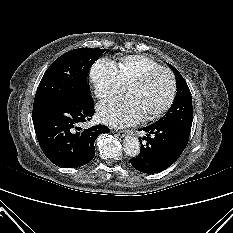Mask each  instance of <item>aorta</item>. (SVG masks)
Wrapping results in <instances>:
<instances>
[{"label":"aorta","mask_w":233,"mask_h":233,"mask_svg":"<svg viewBox=\"0 0 233 233\" xmlns=\"http://www.w3.org/2000/svg\"><path fill=\"white\" fill-rule=\"evenodd\" d=\"M124 152L130 157H136L140 153V142L134 136H126L124 139Z\"/></svg>","instance_id":"762f6f07"}]
</instances>
